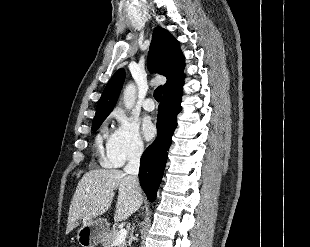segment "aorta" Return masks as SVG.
I'll return each instance as SVG.
<instances>
[{
    "label": "aorta",
    "instance_id": "762f6f07",
    "mask_svg": "<svg viewBox=\"0 0 310 247\" xmlns=\"http://www.w3.org/2000/svg\"><path fill=\"white\" fill-rule=\"evenodd\" d=\"M136 100V86L134 83H129L123 93V103L127 110H131Z\"/></svg>",
    "mask_w": 310,
    "mask_h": 247
}]
</instances>
